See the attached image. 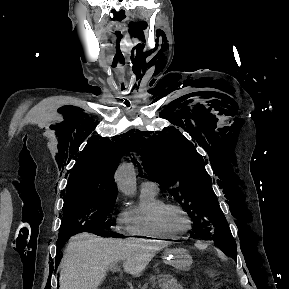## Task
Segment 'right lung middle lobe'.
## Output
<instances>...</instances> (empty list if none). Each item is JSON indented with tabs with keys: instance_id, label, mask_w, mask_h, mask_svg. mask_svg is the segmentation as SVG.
<instances>
[{
	"instance_id": "right-lung-middle-lobe-1",
	"label": "right lung middle lobe",
	"mask_w": 289,
	"mask_h": 289,
	"mask_svg": "<svg viewBox=\"0 0 289 289\" xmlns=\"http://www.w3.org/2000/svg\"><path fill=\"white\" fill-rule=\"evenodd\" d=\"M117 194L105 193L66 198L58 241H67L73 234L91 232L106 237L107 213L112 212Z\"/></svg>"
}]
</instances>
